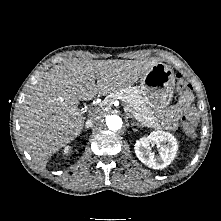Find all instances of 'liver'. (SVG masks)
I'll list each match as a JSON object with an SVG mask.
<instances>
[{"mask_svg":"<svg viewBox=\"0 0 221 221\" xmlns=\"http://www.w3.org/2000/svg\"><path fill=\"white\" fill-rule=\"evenodd\" d=\"M156 63L73 58L44 73L20 110L21 140L34 162L45 167L54 153L79 136L85 121L79 100L129 87Z\"/></svg>","mask_w":221,"mask_h":221,"instance_id":"1","label":"liver"}]
</instances>
